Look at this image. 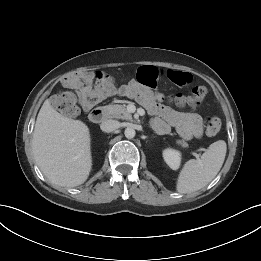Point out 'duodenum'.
<instances>
[{
    "label": "duodenum",
    "mask_w": 261,
    "mask_h": 261,
    "mask_svg": "<svg viewBox=\"0 0 261 261\" xmlns=\"http://www.w3.org/2000/svg\"><path fill=\"white\" fill-rule=\"evenodd\" d=\"M106 117V110L103 107L94 108L90 114L89 119L93 123H101Z\"/></svg>",
    "instance_id": "duodenum-1"
}]
</instances>
